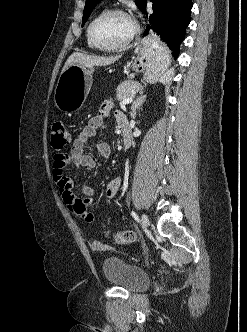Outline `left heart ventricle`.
Returning a JSON list of instances; mask_svg holds the SVG:
<instances>
[{
	"instance_id": "b2bd125f",
	"label": "left heart ventricle",
	"mask_w": 247,
	"mask_h": 332,
	"mask_svg": "<svg viewBox=\"0 0 247 332\" xmlns=\"http://www.w3.org/2000/svg\"><path fill=\"white\" fill-rule=\"evenodd\" d=\"M133 28L131 20L124 15H110L102 19L95 28L98 40L107 45H115L128 37Z\"/></svg>"
}]
</instances>
